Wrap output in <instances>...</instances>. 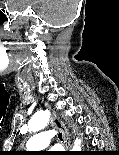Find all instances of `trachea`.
<instances>
[{
  "instance_id": "1",
  "label": "trachea",
  "mask_w": 119,
  "mask_h": 155,
  "mask_svg": "<svg viewBox=\"0 0 119 155\" xmlns=\"http://www.w3.org/2000/svg\"><path fill=\"white\" fill-rule=\"evenodd\" d=\"M58 138H59L61 141H63V139H62V134H61V133L58 134Z\"/></svg>"
}]
</instances>
